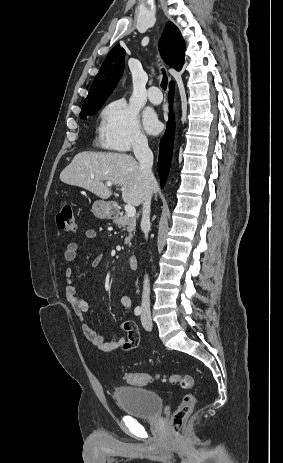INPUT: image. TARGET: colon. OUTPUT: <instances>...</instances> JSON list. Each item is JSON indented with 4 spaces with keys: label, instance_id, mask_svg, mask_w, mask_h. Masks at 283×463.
Instances as JSON below:
<instances>
[{
    "label": "colon",
    "instance_id": "colon-1",
    "mask_svg": "<svg viewBox=\"0 0 283 463\" xmlns=\"http://www.w3.org/2000/svg\"><path fill=\"white\" fill-rule=\"evenodd\" d=\"M57 225L65 232L76 231V219L72 205L69 202L61 203L57 213ZM124 379L129 384L135 386L147 385L154 381H168L179 385V387L184 390L190 389L194 383L193 377L189 374L127 372L124 374ZM194 405V395L191 393L184 394L171 418L172 433L175 437H180L182 435L183 425L191 414Z\"/></svg>",
    "mask_w": 283,
    "mask_h": 463
}]
</instances>
